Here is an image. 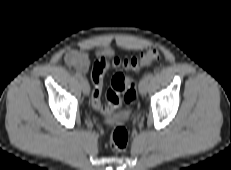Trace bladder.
<instances>
[{
  "label": "bladder",
  "mask_w": 231,
  "mask_h": 170,
  "mask_svg": "<svg viewBox=\"0 0 231 170\" xmlns=\"http://www.w3.org/2000/svg\"><path fill=\"white\" fill-rule=\"evenodd\" d=\"M130 118V113L127 111H120L111 116L107 122L112 124H125Z\"/></svg>",
  "instance_id": "1"
}]
</instances>
